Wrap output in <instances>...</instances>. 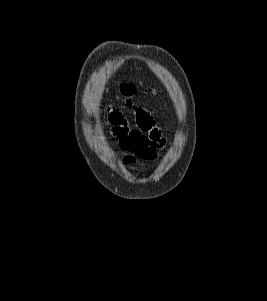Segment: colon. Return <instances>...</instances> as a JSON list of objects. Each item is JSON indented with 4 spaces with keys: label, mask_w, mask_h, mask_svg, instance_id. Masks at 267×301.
Wrapping results in <instances>:
<instances>
[{
    "label": "colon",
    "mask_w": 267,
    "mask_h": 301,
    "mask_svg": "<svg viewBox=\"0 0 267 301\" xmlns=\"http://www.w3.org/2000/svg\"><path fill=\"white\" fill-rule=\"evenodd\" d=\"M135 92V88L131 84H122L121 85V93L127 97L130 98Z\"/></svg>",
    "instance_id": "1"
}]
</instances>
